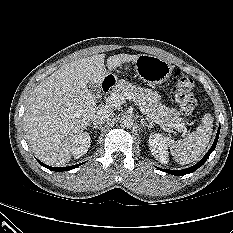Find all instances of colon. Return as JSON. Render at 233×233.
I'll list each match as a JSON object with an SVG mask.
<instances>
[{"mask_svg":"<svg viewBox=\"0 0 233 233\" xmlns=\"http://www.w3.org/2000/svg\"><path fill=\"white\" fill-rule=\"evenodd\" d=\"M174 83L176 87V101L181 113L184 115L192 114L197 105L193 93V80L183 71L177 70L174 73Z\"/></svg>","mask_w":233,"mask_h":233,"instance_id":"5ec220e1","label":"colon"}]
</instances>
